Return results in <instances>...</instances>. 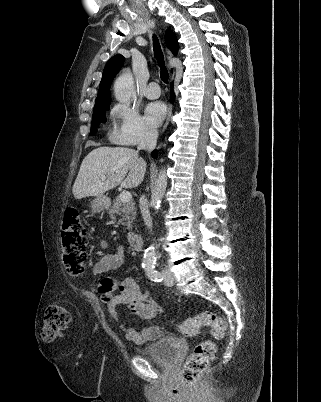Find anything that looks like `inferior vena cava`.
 <instances>
[{
    "mask_svg": "<svg viewBox=\"0 0 321 402\" xmlns=\"http://www.w3.org/2000/svg\"><path fill=\"white\" fill-rule=\"evenodd\" d=\"M158 138V132L155 129L147 128L138 146V150H146L151 152L155 149ZM140 211L144 220L145 225L151 229L152 228V218L147 205V199L143 195L139 200Z\"/></svg>",
    "mask_w": 321,
    "mask_h": 402,
    "instance_id": "602c4592",
    "label": "inferior vena cava"
}]
</instances>
